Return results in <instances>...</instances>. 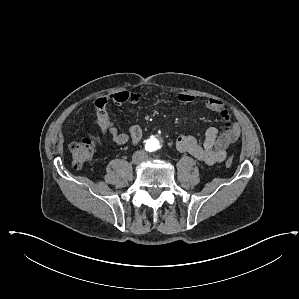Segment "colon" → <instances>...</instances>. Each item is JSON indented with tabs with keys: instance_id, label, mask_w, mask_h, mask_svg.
Returning <instances> with one entry per match:
<instances>
[{
	"instance_id": "colon-1",
	"label": "colon",
	"mask_w": 299,
	"mask_h": 299,
	"mask_svg": "<svg viewBox=\"0 0 299 299\" xmlns=\"http://www.w3.org/2000/svg\"><path fill=\"white\" fill-rule=\"evenodd\" d=\"M95 145V138L93 136H86L80 139H73L70 143L69 149L72 157V162L75 167L83 166L89 161L93 155ZM234 158L230 155L225 165L230 167L233 164Z\"/></svg>"
}]
</instances>
